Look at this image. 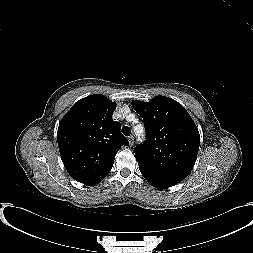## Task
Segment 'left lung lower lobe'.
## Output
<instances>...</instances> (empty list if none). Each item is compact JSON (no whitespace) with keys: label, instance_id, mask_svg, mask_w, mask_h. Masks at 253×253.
I'll use <instances>...</instances> for the list:
<instances>
[{"label":"left lung lower lobe","instance_id":"obj_1","mask_svg":"<svg viewBox=\"0 0 253 253\" xmlns=\"http://www.w3.org/2000/svg\"><path fill=\"white\" fill-rule=\"evenodd\" d=\"M142 175L144 176V178L154 187L156 188H160V189H166V188H169L171 187L172 185L170 184H167V183H164L162 181H159L157 179H154V178H151L149 176H147L146 174H143Z\"/></svg>","mask_w":253,"mask_h":253}]
</instances>
